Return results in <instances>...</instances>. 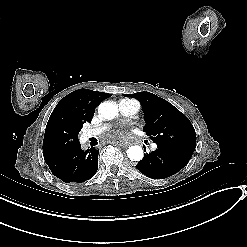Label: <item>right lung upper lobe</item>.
I'll return each instance as SVG.
<instances>
[{"label": "right lung upper lobe", "instance_id": "1", "mask_svg": "<svg viewBox=\"0 0 247 247\" xmlns=\"http://www.w3.org/2000/svg\"><path fill=\"white\" fill-rule=\"evenodd\" d=\"M110 96L109 93L78 89L62 98L48 120L43 151L55 140L79 133L83 124L91 121L99 103Z\"/></svg>", "mask_w": 247, "mask_h": 247}]
</instances>
